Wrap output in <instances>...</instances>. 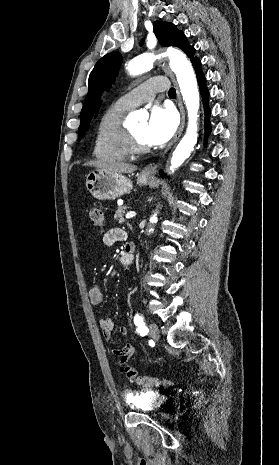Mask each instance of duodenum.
Instances as JSON below:
<instances>
[{"label":"duodenum","mask_w":279,"mask_h":465,"mask_svg":"<svg viewBox=\"0 0 279 465\" xmlns=\"http://www.w3.org/2000/svg\"><path fill=\"white\" fill-rule=\"evenodd\" d=\"M134 259V245L131 243H127L124 246V251L121 255L120 261L123 265H129L132 263Z\"/></svg>","instance_id":"1"}]
</instances>
